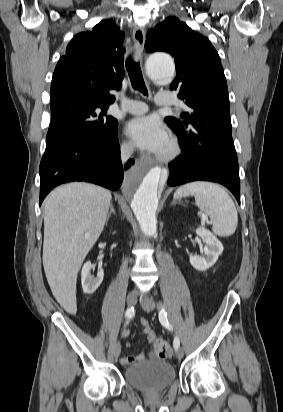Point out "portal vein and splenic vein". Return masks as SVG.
Returning a JSON list of instances; mask_svg holds the SVG:
<instances>
[{
    "label": "portal vein and splenic vein",
    "instance_id": "obj_1",
    "mask_svg": "<svg viewBox=\"0 0 283 412\" xmlns=\"http://www.w3.org/2000/svg\"><path fill=\"white\" fill-rule=\"evenodd\" d=\"M202 221H203V223L208 222V217L207 216H202Z\"/></svg>",
    "mask_w": 283,
    "mask_h": 412
}]
</instances>
